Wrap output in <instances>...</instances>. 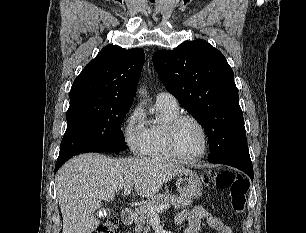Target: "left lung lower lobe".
Instances as JSON below:
<instances>
[{"instance_id":"left-lung-lower-lobe-1","label":"left lung lower lobe","mask_w":306,"mask_h":233,"mask_svg":"<svg viewBox=\"0 0 306 233\" xmlns=\"http://www.w3.org/2000/svg\"><path fill=\"white\" fill-rule=\"evenodd\" d=\"M208 161L211 163L226 164L238 168L248 174L253 180V167L249 153L234 154Z\"/></svg>"}]
</instances>
